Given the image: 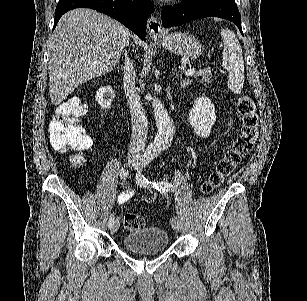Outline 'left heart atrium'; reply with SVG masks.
Wrapping results in <instances>:
<instances>
[{"instance_id": "left-heart-atrium-1", "label": "left heart atrium", "mask_w": 307, "mask_h": 301, "mask_svg": "<svg viewBox=\"0 0 307 301\" xmlns=\"http://www.w3.org/2000/svg\"><path fill=\"white\" fill-rule=\"evenodd\" d=\"M165 2H166L167 4H172V3L174 2V0H165Z\"/></svg>"}]
</instances>
